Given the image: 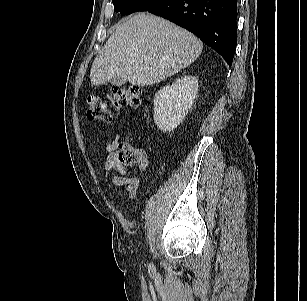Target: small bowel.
<instances>
[{
	"instance_id": "small-bowel-1",
	"label": "small bowel",
	"mask_w": 307,
	"mask_h": 301,
	"mask_svg": "<svg viewBox=\"0 0 307 301\" xmlns=\"http://www.w3.org/2000/svg\"><path fill=\"white\" fill-rule=\"evenodd\" d=\"M120 140V131L117 129L112 137L105 142V148L108 152V157L105 162V169L116 170L118 175H111L112 183L117 187H123L126 191L127 199H131L139 185V179L137 177L127 176L128 169L121 165L119 162V154L117 153V146ZM148 167V158L146 153L141 152V158L139 161V169L141 174H144Z\"/></svg>"
}]
</instances>
